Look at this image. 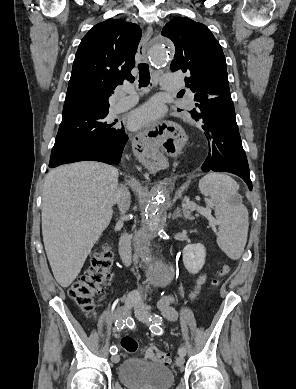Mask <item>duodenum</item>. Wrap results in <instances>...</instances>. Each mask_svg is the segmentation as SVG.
<instances>
[{"label": "duodenum", "instance_id": "410a0bca", "mask_svg": "<svg viewBox=\"0 0 296 389\" xmlns=\"http://www.w3.org/2000/svg\"><path fill=\"white\" fill-rule=\"evenodd\" d=\"M128 250H129V247H128L127 241L126 240H122L121 243H120V253H121V255L122 256L127 255Z\"/></svg>", "mask_w": 296, "mask_h": 389}]
</instances>
